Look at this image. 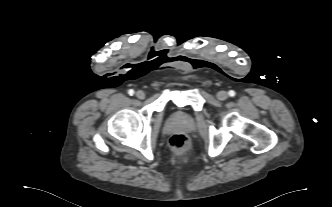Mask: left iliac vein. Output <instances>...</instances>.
<instances>
[{"label":"left iliac vein","mask_w":332,"mask_h":207,"mask_svg":"<svg viewBox=\"0 0 332 207\" xmlns=\"http://www.w3.org/2000/svg\"><path fill=\"white\" fill-rule=\"evenodd\" d=\"M217 98H218L219 100H225V99L228 98V93H227L226 91H219V92L217 93Z\"/></svg>","instance_id":"obj_1"}]
</instances>
